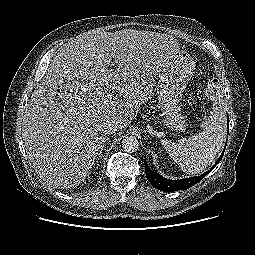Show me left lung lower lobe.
<instances>
[{"label":"left lung lower lobe","instance_id":"left-lung-lower-lobe-1","mask_svg":"<svg viewBox=\"0 0 255 255\" xmlns=\"http://www.w3.org/2000/svg\"><path fill=\"white\" fill-rule=\"evenodd\" d=\"M227 120H229L228 117H227ZM228 126H229V123H228ZM223 154H224V151L222 152V154L220 155L216 163L213 165V167L210 170L203 173L202 175L196 176V177H190L186 179H180V180H170V179L164 178L157 172L151 170L145 162L146 178L152 184L154 188L159 189L161 191L172 192V191L188 189L194 184L201 181L213 168H215V166L221 161Z\"/></svg>","mask_w":255,"mask_h":255}]
</instances>
